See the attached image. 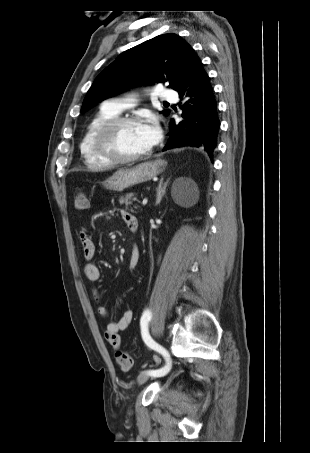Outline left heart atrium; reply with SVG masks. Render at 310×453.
<instances>
[{
	"label": "left heart atrium",
	"mask_w": 310,
	"mask_h": 453,
	"mask_svg": "<svg viewBox=\"0 0 310 453\" xmlns=\"http://www.w3.org/2000/svg\"><path fill=\"white\" fill-rule=\"evenodd\" d=\"M141 128L143 137L147 142L149 148L156 145L161 137V131L158 126V123L155 120L151 119L146 123L142 124Z\"/></svg>",
	"instance_id": "1"
}]
</instances>
